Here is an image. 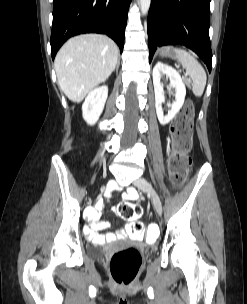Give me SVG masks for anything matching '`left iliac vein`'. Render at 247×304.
Masks as SVG:
<instances>
[{
	"label": "left iliac vein",
	"mask_w": 247,
	"mask_h": 304,
	"mask_svg": "<svg viewBox=\"0 0 247 304\" xmlns=\"http://www.w3.org/2000/svg\"><path fill=\"white\" fill-rule=\"evenodd\" d=\"M133 184L137 188L146 192L150 196V198L153 202V205L155 207V210L157 211V213L159 215H161L162 214L161 200H160L158 194L156 193V191L154 190V188L152 187V185L143 177H139V178L135 179Z\"/></svg>",
	"instance_id": "4c4485c4"
}]
</instances>
